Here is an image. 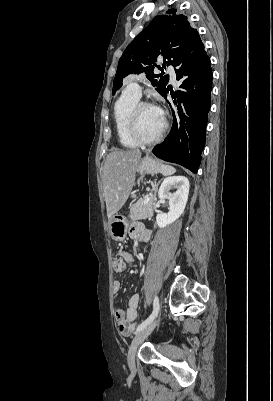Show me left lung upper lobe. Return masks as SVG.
Segmentation results:
<instances>
[{
    "mask_svg": "<svg viewBox=\"0 0 273 401\" xmlns=\"http://www.w3.org/2000/svg\"><path fill=\"white\" fill-rule=\"evenodd\" d=\"M199 40L197 30L190 26L185 15L169 10L165 15L156 16L123 52L113 81V95L122 86L124 78L134 72H145L162 95L169 78L154 74L156 58L159 55L164 57V67L166 64L173 65Z\"/></svg>",
    "mask_w": 273,
    "mask_h": 401,
    "instance_id": "1",
    "label": "left lung upper lobe"
}]
</instances>
